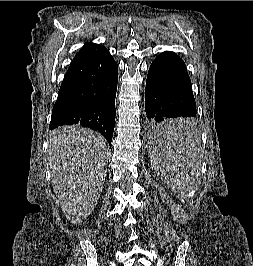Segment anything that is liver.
Segmentation results:
<instances>
[{
    "label": "liver",
    "instance_id": "1",
    "mask_svg": "<svg viewBox=\"0 0 253 266\" xmlns=\"http://www.w3.org/2000/svg\"><path fill=\"white\" fill-rule=\"evenodd\" d=\"M47 154L61 209L71 223H81L94 210L103 189L107 141L88 128L64 126L50 133Z\"/></svg>",
    "mask_w": 253,
    "mask_h": 266
}]
</instances>
